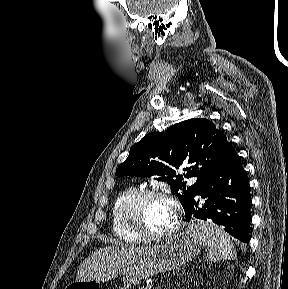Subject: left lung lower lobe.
<instances>
[{
  "mask_svg": "<svg viewBox=\"0 0 288 289\" xmlns=\"http://www.w3.org/2000/svg\"><path fill=\"white\" fill-rule=\"evenodd\" d=\"M248 181L235 149L229 144L222 160L185 206L186 220H212L238 240L249 241L251 198ZM200 195L202 203L195 198Z\"/></svg>",
  "mask_w": 288,
  "mask_h": 289,
  "instance_id": "obj_1",
  "label": "left lung lower lobe"
}]
</instances>
